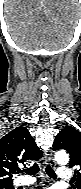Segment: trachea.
<instances>
[{
    "instance_id": "1",
    "label": "trachea",
    "mask_w": 81,
    "mask_h": 189,
    "mask_svg": "<svg viewBox=\"0 0 81 189\" xmlns=\"http://www.w3.org/2000/svg\"><path fill=\"white\" fill-rule=\"evenodd\" d=\"M39 170H40L39 165L37 163H35L30 168L25 169V170H23L21 172H25L26 174L32 176V175H35ZM45 171H46V173L48 174V176L50 178L56 179L57 176H56L55 172L53 171V169L51 168L50 165H47L45 167Z\"/></svg>"
}]
</instances>
